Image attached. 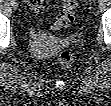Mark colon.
<instances>
[{
  "mask_svg": "<svg viewBox=\"0 0 111 106\" xmlns=\"http://www.w3.org/2000/svg\"><path fill=\"white\" fill-rule=\"evenodd\" d=\"M76 10L77 2L74 0H66L59 16L52 24V29L59 30L67 27L71 22H73ZM58 62L62 66H70L73 63L72 52L64 51L60 53Z\"/></svg>",
  "mask_w": 111,
  "mask_h": 106,
  "instance_id": "colon-1",
  "label": "colon"
}]
</instances>
